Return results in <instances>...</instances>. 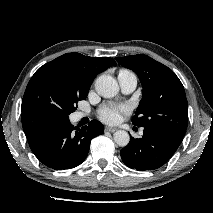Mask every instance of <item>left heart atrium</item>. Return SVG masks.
<instances>
[{"instance_id":"39dd6f15","label":"left heart atrium","mask_w":213,"mask_h":213,"mask_svg":"<svg viewBox=\"0 0 213 213\" xmlns=\"http://www.w3.org/2000/svg\"><path fill=\"white\" fill-rule=\"evenodd\" d=\"M126 111L127 109L122 106H105L100 110L99 116L104 122L113 124L118 122L120 115Z\"/></svg>"}]
</instances>
